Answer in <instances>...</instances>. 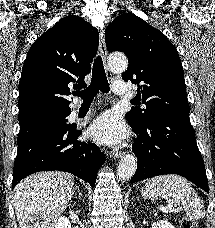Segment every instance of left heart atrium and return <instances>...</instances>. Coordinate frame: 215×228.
Here are the masks:
<instances>
[{"mask_svg": "<svg viewBox=\"0 0 215 228\" xmlns=\"http://www.w3.org/2000/svg\"><path fill=\"white\" fill-rule=\"evenodd\" d=\"M89 134L98 143L122 145L128 138V128L116 112L109 110L92 121Z\"/></svg>", "mask_w": 215, "mask_h": 228, "instance_id": "39dd6f15", "label": "left heart atrium"}]
</instances>
